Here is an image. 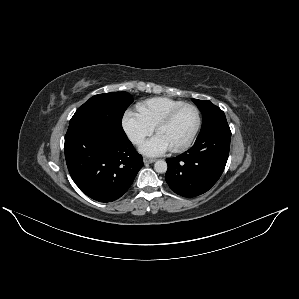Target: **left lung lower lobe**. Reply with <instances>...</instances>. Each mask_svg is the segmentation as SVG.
Instances as JSON below:
<instances>
[{"mask_svg":"<svg viewBox=\"0 0 299 299\" xmlns=\"http://www.w3.org/2000/svg\"><path fill=\"white\" fill-rule=\"evenodd\" d=\"M228 125L216 126L198 135L194 145L175 158H168L165 175L178 195L195 197L207 192L224 171L230 148Z\"/></svg>","mask_w":299,"mask_h":299,"instance_id":"1","label":"left lung lower lobe"}]
</instances>
